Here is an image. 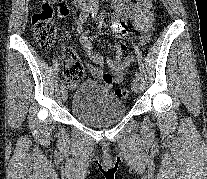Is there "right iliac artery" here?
I'll return each mask as SVG.
<instances>
[{
	"label": "right iliac artery",
	"mask_w": 207,
	"mask_h": 179,
	"mask_svg": "<svg viewBox=\"0 0 207 179\" xmlns=\"http://www.w3.org/2000/svg\"><path fill=\"white\" fill-rule=\"evenodd\" d=\"M91 9H92V7H90V6L84 7V9L82 10V12L79 16V19H78L79 25L83 24L87 20V17L89 16ZM64 84L65 83L63 81H61V87H64L65 86Z\"/></svg>",
	"instance_id": "right-iliac-artery-1"
}]
</instances>
